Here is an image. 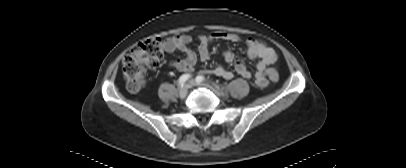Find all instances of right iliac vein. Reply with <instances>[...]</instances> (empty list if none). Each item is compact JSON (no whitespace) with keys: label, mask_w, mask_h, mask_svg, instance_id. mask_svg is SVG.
Here are the masks:
<instances>
[{"label":"right iliac vein","mask_w":406,"mask_h":168,"mask_svg":"<svg viewBox=\"0 0 406 168\" xmlns=\"http://www.w3.org/2000/svg\"><path fill=\"white\" fill-rule=\"evenodd\" d=\"M188 88H189V85L186 84V85H184V86L180 89V91H179V96H180L181 98L186 97L187 92H188Z\"/></svg>","instance_id":"right-iliac-vein-1"}]
</instances>
